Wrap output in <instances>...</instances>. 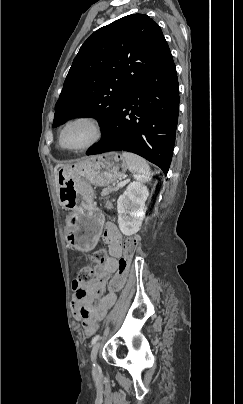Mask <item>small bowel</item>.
Wrapping results in <instances>:
<instances>
[{
	"label": "small bowel",
	"mask_w": 243,
	"mask_h": 404,
	"mask_svg": "<svg viewBox=\"0 0 243 404\" xmlns=\"http://www.w3.org/2000/svg\"><path fill=\"white\" fill-rule=\"evenodd\" d=\"M121 233L111 223L106 224L103 241L108 244L111 257L97 267V278L90 283L75 280L72 284V310L75 317L81 320L87 335H92L98 329L108 310L116 301V294L106 292V283L112 273L118 269L121 252ZM97 303L95 304V301Z\"/></svg>",
	"instance_id": "small-bowel-1"
}]
</instances>
